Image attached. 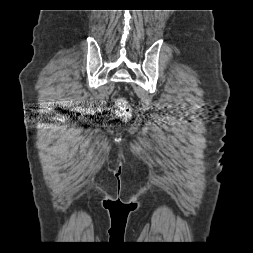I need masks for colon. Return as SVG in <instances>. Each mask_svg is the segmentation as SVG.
<instances>
[{"instance_id":"colon-1","label":"colon","mask_w":253,"mask_h":253,"mask_svg":"<svg viewBox=\"0 0 253 253\" xmlns=\"http://www.w3.org/2000/svg\"><path fill=\"white\" fill-rule=\"evenodd\" d=\"M115 107L117 115L122 119H127L131 115V108L127 100L123 97H117L115 100Z\"/></svg>"}]
</instances>
